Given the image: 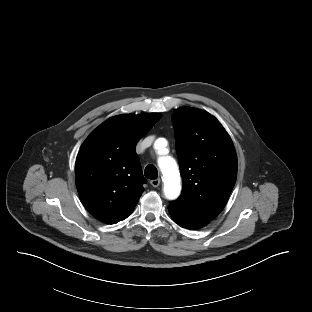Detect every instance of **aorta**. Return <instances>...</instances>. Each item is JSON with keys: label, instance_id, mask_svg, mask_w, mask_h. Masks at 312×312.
Segmentation results:
<instances>
[{"label": "aorta", "instance_id": "obj_1", "mask_svg": "<svg viewBox=\"0 0 312 312\" xmlns=\"http://www.w3.org/2000/svg\"><path fill=\"white\" fill-rule=\"evenodd\" d=\"M160 140H157L155 147L159 148ZM158 165L164 176V192L167 198L175 199L181 190L180 174L177 169L176 162L171 157H161L158 160Z\"/></svg>", "mask_w": 312, "mask_h": 312}]
</instances>
